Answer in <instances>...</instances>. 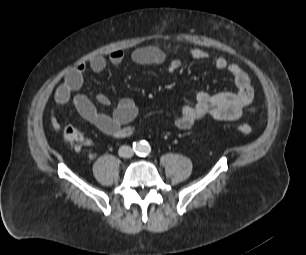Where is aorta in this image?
<instances>
[{"mask_svg": "<svg viewBox=\"0 0 306 255\" xmlns=\"http://www.w3.org/2000/svg\"><path fill=\"white\" fill-rule=\"evenodd\" d=\"M135 150L139 154H148L150 152L151 148L147 143H137L135 145Z\"/></svg>", "mask_w": 306, "mask_h": 255, "instance_id": "obj_1", "label": "aorta"}]
</instances>
